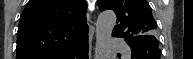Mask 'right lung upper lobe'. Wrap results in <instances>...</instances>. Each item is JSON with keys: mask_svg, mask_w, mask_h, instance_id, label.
I'll return each mask as SVG.
<instances>
[{"mask_svg": "<svg viewBox=\"0 0 193 59\" xmlns=\"http://www.w3.org/2000/svg\"><path fill=\"white\" fill-rule=\"evenodd\" d=\"M87 38L84 0H30L19 21L16 59H55Z\"/></svg>", "mask_w": 193, "mask_h": 59, "instance_id": "right-lung-upper-lobe-1", "label": "right lung upper lobe"}]
</instances>
